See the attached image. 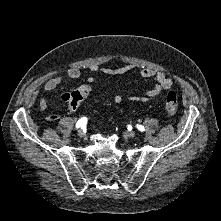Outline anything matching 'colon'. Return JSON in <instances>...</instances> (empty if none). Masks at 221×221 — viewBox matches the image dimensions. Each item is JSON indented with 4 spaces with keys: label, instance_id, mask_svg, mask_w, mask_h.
<instances>
[{
    "label": "colon",
    "instance_id": "colon-1",
    "mask_svg": "<svg viewBox=\"0 0 221 221\" xmlns=\"http://www.w3.org/2000/svg\"><path fill=\"white\" fill-rule=\"evenodd\" d=\"M90 93V88L88 86H83L76 90L72 94L71 103L75 106L77 105L84 97L88 96ZM177 96L174 92L170 91L165 96V111L169 119L173 118L177 110Z\"/></svg>",
    "mask_w": 221,
    "mask_h": 221
}]
</instances>
